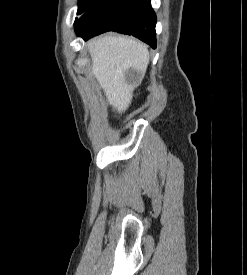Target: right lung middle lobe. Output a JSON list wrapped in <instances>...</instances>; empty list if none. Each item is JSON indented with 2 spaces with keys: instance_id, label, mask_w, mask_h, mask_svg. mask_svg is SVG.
<instances>
[{
  "instance_id": "1",
  "label": "right lung middle lobe",
  "mask_w": 247,
  "mask_h": 275,
  "mask_svg": "<svg viewBox=\"0 0 247 275\" xmlns=\"http://www.w3.org/2000/svg\"><path fill=\"white\" fill-rule=\"evenodd\" d=\"M104 1H106V0H79L77 14L78 15L83 14V13L93 9L97 5L103 3ZM77 21H78V18H76L75 23Z\"/></svg>"
}]
</instances>
